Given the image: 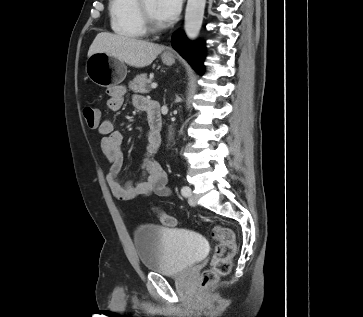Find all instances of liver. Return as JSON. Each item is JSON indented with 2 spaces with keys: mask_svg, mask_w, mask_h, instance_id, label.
<instances>
[{
  "mask_svg": "<svg viewBox=\"0 0 363 317\" xmlns=\"http://www.w3.org/2000/svg\"><path fill=\"white\" fill-rule=\"evenodd\" d=\"M163 49L162 45L145 40L101 32L91 44L88 57L94 53H107L129 66L142 68L150 65Z\"/></svg>",
  "mask_w": 363,
  "mask_h": 317,
  "instance_id": "1",
  "label": "liver"
}]
</instances>
